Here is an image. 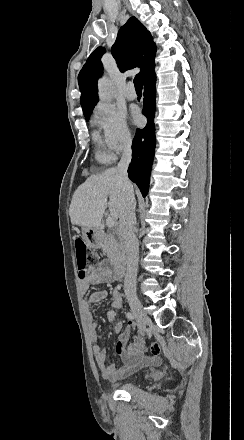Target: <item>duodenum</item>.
<instances>
[{
	"label": "duodenum",
	"mask_w": 244,
	"mask_h": 440,
	"mask_svg": "<svg viewBox=\"0 0 244 440\" xmlns=\"http://www.w3.org/2000/svg\"><path fill=\"white\" fill-rule=\"evenodd\" d=\"M96 239L97 234L94 233V241H96ZM128 260L129 258L125 255L117 258L116 262L114 263V268L118 274L123 275L125 273L128 266Z\"/></svg>",
	"instance_id": "obj_1"
}]
</instances>
